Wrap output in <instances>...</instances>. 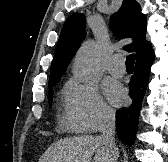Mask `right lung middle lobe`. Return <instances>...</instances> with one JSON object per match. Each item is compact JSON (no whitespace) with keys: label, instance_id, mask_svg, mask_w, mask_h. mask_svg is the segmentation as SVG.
I'll use <instances>...</instances> for the list:
<instances>
[{"label":"right lung middle lobe","instance_id":"1","mask_svg":"<svg viewBox=\"0 0 168 162\" xmlns=\"http://www.w3.org/2000/svg\"><path fill=\"white\" fill-rule=\"evenodd\" d=\"M57 82H53L49 84V91H48V101L50 106L52 105V98H53V89L52 87L56 84Z\"/></svg>","mask_w":168,"mask_h":162}]
</instances>
